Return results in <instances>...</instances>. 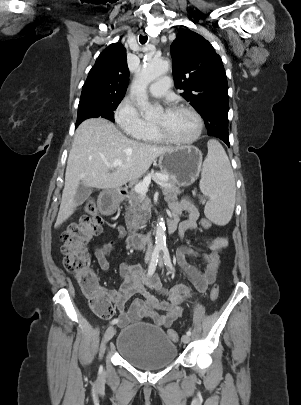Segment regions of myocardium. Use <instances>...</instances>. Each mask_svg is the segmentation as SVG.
<instances>
[{"label":"myocardium","instance_id":"f54148a6","mask_svg":"<svg viewBox=\"0 0 301 405\" xmlns=\"http://www.w3.org/2000/svg\"><path fill=\"white\" fill-rule=\"evenodd\" d=\"M174 109L186 111L195 118L197 127H196V131L193 134V136H191L190 138H186V139L176 138V137L170 135L164 128H162L158 124H153V128H154L155 132L158 134V136L162 140L167 141L169 143L182 144V145L194 143L195 141H197L199 139V137L201 136V133L203 131V119H202L201 115L194 108L187 106V105H178Z\"/></svg>","mask_w":301,"mask_h":405}]
</instances>
